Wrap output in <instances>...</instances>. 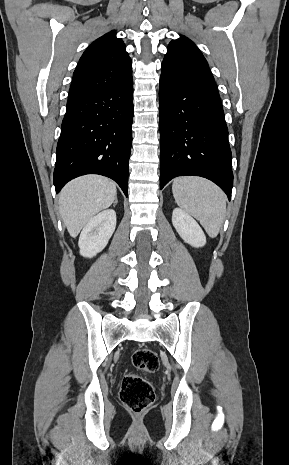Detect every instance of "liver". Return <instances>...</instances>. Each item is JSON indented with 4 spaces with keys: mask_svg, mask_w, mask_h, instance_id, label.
Returning a JSON list of instances; mask_svg holds the SVG:
<instances>
[{
    "mask_svg": "<svg viewBox=\"0 0 289 465\" xmlns=\"http://www.w3.org/2000/svg\"><path fill=\"white\" fill-rule=\"evenodd\" d=\"M116 195L115 183L99 175L69 182L60 192L59 208L70 236L75 238L97 213L110 207Z\"/></svg>",
    "mask_w": 289,
    "mask_h": 465,
    "instance_id": "1",
    "label": "liver"
}]
</instances>
